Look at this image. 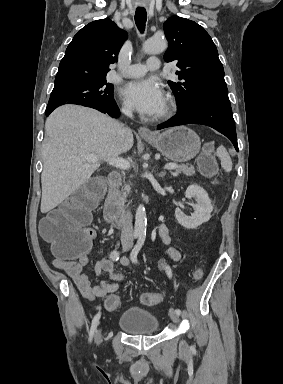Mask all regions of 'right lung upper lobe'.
<instances>
[{
    "label": "right lung upper lobe",
    "instance_id": "obj_1",
    "mask_svg": "<svg viewBox=\"0 0 283 384\" xmlns=\"http://www.w3.org/2000/svg\"><path fill=\"white\" fill-rule=\"evenodd\" d=\"M127 33L110 19L96 20L82 28L68 45L60 62L55 86L106 79L109 64L117 61Z\"/></svg>",
    "mask_w": 283,
    "mask_h": 384
}]
</instances>
